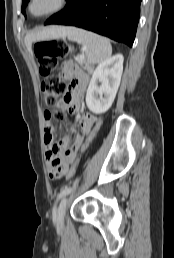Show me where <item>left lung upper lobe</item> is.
<instances>
[{"instance_id":"1","label":"left lung upper lobe","mask_w":174,"mask_h":258,"mask_svg":"<svg viewBox=\"0 0 174 258\" xmlns=\"http://www.w3.org/2000/svg\"><path fill=\"white\" fill-rule=\"evenodd\" d=\"M28 2H29V0H22V8H21V10H22V13H23V14H25V11H24V10H25V8H26Z\"/></svg>"}]
</instances>
